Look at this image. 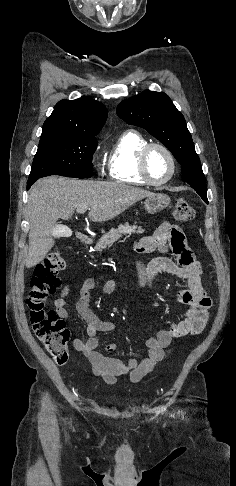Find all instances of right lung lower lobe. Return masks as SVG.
<instances>
[{"label": "right lung lower lobe", "instance_id": "98d812e1", "mask_svg": "<svg viewBox=\"0 0 236 486\" xmlns=\"http://www.w3.org/2000/svg\"><path fill=\"white\" fill-rule=\"evenodd\" d=\"M35 181H36V180L28 181V186H27V188L29 189V188H30V186H31V185H32V184H33Z\"/></svg>", "mask_w": 236, "mask_h": 486}]
</instances>
